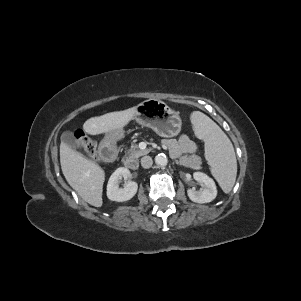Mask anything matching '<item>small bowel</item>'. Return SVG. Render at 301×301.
Masks as SVG:
<instances>
[{
    "instance_id": "obj_1",
    "label": "small bowel",
    "mask_w": 301,
    "mask_h": 301,
    "mask_svg": "<svg viewBox=\"0 0 301 301\" xmlns=\"http://www.w3.org/2000/svg\"><path fill=\"white\" fill-rule=\"evenodd\" d=\"M165 145L169 149L172 157L185 163L184 154H194L197 150V145L186 134H181L177 140L167 139Z\"/></svg>"
}]
</instances>
